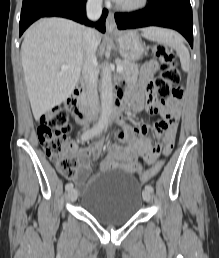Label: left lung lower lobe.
Wrapping results in <instances>:
<instances>
[{
	"instance_id": "1",
	"label": "left lung lower lobe",
	"mask_w": 219,
	"mask_h": 258,
	"mask_svg": "<svg viewBox=\"0 0 219 258\" xmlns=\"http://www.w3.org/2000/svg\"><path fill=\"white\" fill-rule=\"evenodd\" d=\"M119 29L161 26L179 31L193 47V19L189 0H149L148 6L132 13H116Z\"/></svg>"
}]
</instances>
